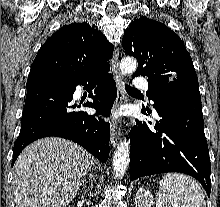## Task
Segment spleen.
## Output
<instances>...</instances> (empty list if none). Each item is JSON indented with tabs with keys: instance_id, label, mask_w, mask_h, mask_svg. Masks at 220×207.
<instances>
[{
	"instance_id": "1",
	"label": "spleen",
	"mask_w": 220,
	"mask_h": 207,
	"mask_svg": "<svg viewBox=\"0 0 220 207\" xmlns=\"http://www.w3.org/2000/svg\"><path fill=\"white\" fill-rule=\"evenodd\" d=\"M158 207H206L201 186L184 174H166L156 197Z\"/></svg>"
}]
</instances>
